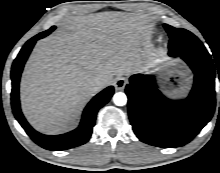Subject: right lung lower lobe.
Segmentation results:
<instances>
[{"label":"right lung lower lobe","mask_w":220,"mask_h":173,"mask_svg":"<svg viewBox=\"0 0 220 173\" xmlns=\"http://www.w3.org/2000/svg\"><path fill=\"white\" fill-rule=\"evenodd\" d=\"M47 31L42 32L35 37L31 38L26 44L22 47L18 56L13 62L11 69V79H12V92H11V103L12 109L15 118L18 120L20 125L26 131V133L31 137V139L40 145L41 147L52 150H65L80 146L86 143L92 133V128L95 123L96 115L98 110L104 106L112 97L114 89L113 86H109L104 89L102 92L97 94L86 106L80 125L74 131H71L67 134L57 135V136H48L43 135L35 131L25 120L19 103V80L23 70V66L35 44V42L45 37Z\"/></svg>","instance_id":"98d812e1"}]
</instances>
